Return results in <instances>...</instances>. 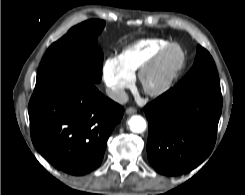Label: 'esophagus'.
<instances>
[{"instance_id": "esophagus-1", "label": "esophagus", "mask_w": 245, "mask_h": 195, "mask_svg": "<svg viewBox=\"0 0 245 195\" xmlns=\"http://www.w3.org/2000/svg\"><path fill=\"white\" fill-rule=\"evenodd\" d=\"M125 112H126L128 115H131V114L136 113L137 110H136L135 108H133V107H129V108L126 109Z\"/></svg>"}]
</instances>
